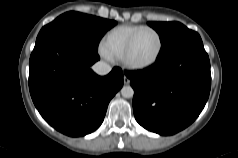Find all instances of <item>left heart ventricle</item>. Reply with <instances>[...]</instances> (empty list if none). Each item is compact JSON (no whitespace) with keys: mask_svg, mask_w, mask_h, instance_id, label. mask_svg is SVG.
<instances>
[{"mask_svg":"<svg viewBox=\"0 0 238 158\" xmlns=\"http://www.w3.org/2000/svg\"><path fill=\"white\" fill-rule=\"evenodd\" d=\"M158 47L157 35L152 31H144L138 36L129 59L134 64L147 63L155 57Z\"/></svg>","mask_w":238,"mask_h":158,"instance_id":"left-heart-ventricle-1","label":"left heart ventricle"}]
</instances>
